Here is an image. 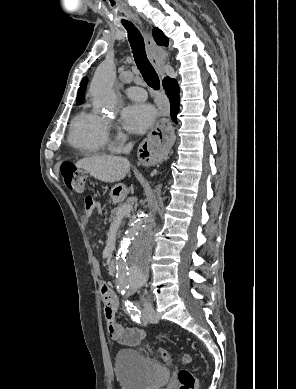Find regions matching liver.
Returning <instances> with one entry per match:
<instances>
[{
  "instance_id": "obj_1",
  "label": "liver",
  "mask_w": 296,
  "mask_h": 389,
  "mask_svg": "<svg viewBox=\"0 0 296 389\" xmlns=\"http://www.w3.org/2000/svg\"><path fill=\"white\" fill-rule=\"evenodd\" d=\"M92 177L105 183L121 181L130 171L128 159L118 156L96 155L85 157L76 163Z\"/></svg>"
}]
</instances>
